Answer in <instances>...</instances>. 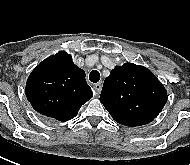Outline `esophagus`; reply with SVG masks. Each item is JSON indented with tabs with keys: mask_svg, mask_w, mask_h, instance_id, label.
Instances as JSON below:
<instances>
[{
	"mask_svg": "<svg viewBox=\"0 0 190 165\" xmlns=\"http://www.w3.org/2000/svg\"><path fill=\"white\" fill-rule=\"evenodd\" d=\"M94 92L96 95H99L101 93V89H102V84L101 82L100 83H97L94 85Z\"/></svg>",
	"mask_w": 190,
	"mask_h": 165,
	"instance_id": "34e87169",
	"label": "esophagus"
}]
</instances>
